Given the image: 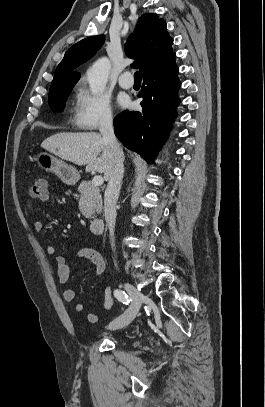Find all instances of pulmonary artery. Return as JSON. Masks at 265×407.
<instances>
[{"mask_svg": "<svg viewBox=\"0 0 265 407\" xmlns=\"http://www.w3.org/2000/svg\"><path fill=\"white\" fill-rule=\"evenodd\" d=\"M131 73L129 71H125L123 72L119 79H118V83L120 85V87H122L123 89H130L133 86V80L130 78Z\"/></svg>", "mask_w": 265, "mask_h": 407, "instance_id": "obj_1", "label": "pulmonary artery"}]
</instances>
